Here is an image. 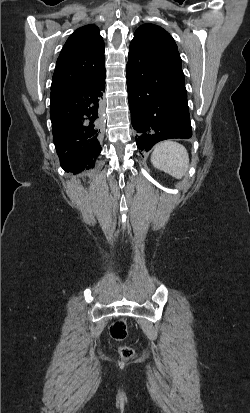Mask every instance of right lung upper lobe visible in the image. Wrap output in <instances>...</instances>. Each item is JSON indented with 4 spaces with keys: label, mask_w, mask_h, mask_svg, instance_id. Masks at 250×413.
Listing matches in <instances>:
<instances>
[{
    "label": "right lung upper lobe",
    "mask_w": 250,
    "mask_h": 413,
    "mask_svg": "<svg viewBox=\"0 0 250 413\" xmlns=\"http://www.w3.org/2000/svg\"><path fill=\"white\" fill-rule=\"evenodd\" d=\"M105 45L99 29L86 25L68 38L57 59L51 90L86 83L105 70Z\"/></svg>",
    "instance_id": "right-lung-upper-lobe-1"
}]
</instances>
